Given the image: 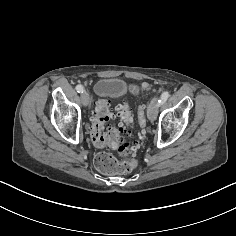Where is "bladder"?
<instances>
[{
	"instance_id": "obj_1",
	"label": "bladder",
	"mask_w": 236,
	"mask_h": 236,
	"mask_svg": "<svg viewBox=\"0 0 236 236\" xmlns=\"http://www.w3.org/2000/svg\"><path fill=\"white\" fill-rule=\"evenodd\" d=\"M125 81L115 77H103L95 85V91L98 95L107 98H116L126 92Z\"/></svg>"
}]
</instances>
